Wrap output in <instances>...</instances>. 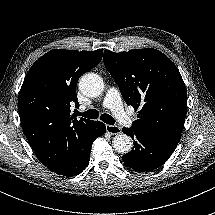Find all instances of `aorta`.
Returning a JSON list of instances; mask_svg holds the SVG:
<instances>
[{"label":"aorta","mask_w":215,"mask_h":215,"mask_svg":"<svg viewBox=\"0 0 215 215\" xmlns=\"http://www.w3.org/2000/svg\"><path fill=\"white\" fill-rule=\"evenodd\" d=\"M80 90L87 97H96L102 93V80L99 76L87 73L79 81ZM113 148L121 154L132 150L133 141L130 136L120 133L112 139Z\"/></svg>","instance_id":"aorta-1"}]
</instances>
